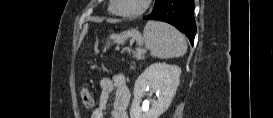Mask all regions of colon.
<instances>
[{
	"label": "colon",
	"instance_id": "1",
	"mask_svg": "<svg viewBox=\"0 0 273 118\" xmlns=\"http://www.w3.org/2000/svg\"><path fill=\"white\" fill-rule=\"evenodd\" d=\"M81 99L84 105L88 108L92 105V97L90 92L87 89H82Z\"/></svg>",
	"mask_w": 273,
	"mask_h": 118
}]
</instances>
